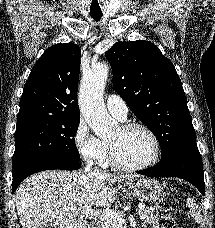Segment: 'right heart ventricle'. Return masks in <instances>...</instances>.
<instances>
[{
  "mask_svg": "<svg viewBox=\"0 0 215 228\" xmlns=\"http://www.w3.org/2000/svg\"><path fill=\"white\" fill-rule=\"evenodd\" d=\"M103 146H104V149H105V155H104V158H103V163H107L109 161V156H108V145L106 142H102Z\"/></svg>",
  "mask_w": 215,
  "mask_h": 228,
  "instance_id": "1",
  "label": "right heart ventricle"
}]
</instances>
